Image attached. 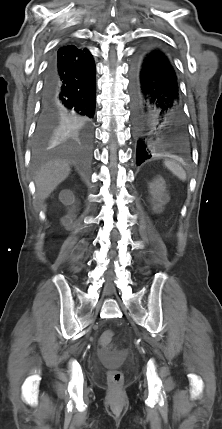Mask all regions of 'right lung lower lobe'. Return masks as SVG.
<instances>
[{
  "mask_svg": "<svg viewBox=\"0 0 222 429\" xmlns=\"http://www.w3.org/2000/svg\"><path fill=\"white\" fill-rule=\"evenodd\" d=\"M95 93V65L90 52L74 45L61 47L46 68L38 127L88 135Z\"/></svg>",
  "mask_w": 222,
  "mask_h": 429,
  "instance_id": "right-lung-lower-lobe-1",
  "label": "right lung lower lobe"
}]
</instances>
